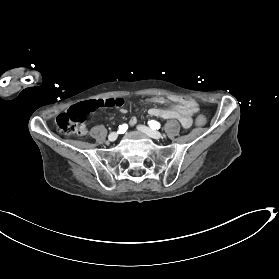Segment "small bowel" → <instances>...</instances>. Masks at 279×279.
<instances>
[{
    "label": "small bowel",
    "mask_w": 279,
    "mask_h": 279,
    "mask_svg": "<svg viewBox=\"0 0 279 279\" xmlns=\"http://www.w3.org/2000/svg\"><path fill=\"white\" fill-rule=\"evenodd\" d=\"M175 102L176 105L169 108H158L153 107L149 109L151 116L161 117L164 119H177L184 128H189L192 125V112H190L176 97L164 98V97H153L148 99V102L153 104H165L168 102ZM121 113H126L125 108L120 109ZM137 123L136 117H131L129 120V126L134 127ZM87 129L85 125L81 126V135H85Z\"/></svg>",
    "instance_id": "c3829d8e"
}]
</instances>
